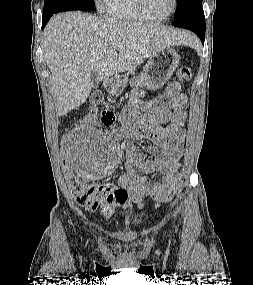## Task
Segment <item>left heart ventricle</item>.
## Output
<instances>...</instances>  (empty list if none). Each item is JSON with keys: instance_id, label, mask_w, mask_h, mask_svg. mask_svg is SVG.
<instances>
[{"instance_id": "obj_1", "label": "left heart ventricle", "mask_w": 253, "mask_h": 285, "mask_svg": "<svg viewBox=\"0 0 253 285\" xmlns=\"http://www.w3.org/2000/svg\"><path fill=\"white\" fill-rule=\"evenodd\" d=\"M173 0H145L147 13L155 18L166 16L172 9Z\"/></svg>"}]
</instances>
